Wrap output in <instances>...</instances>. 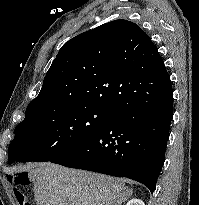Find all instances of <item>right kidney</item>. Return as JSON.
Here are the masks:
<instances>
[{
    "label": "right kidney",
    "mask_w": 199,
    "mask_h": 205,
    "mask_svg": "<svg viewBox=\"0 0 199 205\" xmlns=\"http://www.w3.org/2000/svg\"><path fill=\"white\" fill-rule=\"evenodd\" d=\"M126 205H145L142 200L133 198L127 202Z\"/></svg>",
    "instance_id": "1"
}]
</instances>
